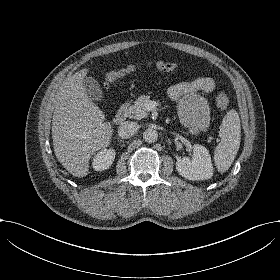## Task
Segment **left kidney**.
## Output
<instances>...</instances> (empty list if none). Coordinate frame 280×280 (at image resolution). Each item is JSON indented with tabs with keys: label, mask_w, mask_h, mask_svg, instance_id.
Returning <instances> with one entry per match:
<instances>
[{
	"label": "left kidney",
	"mask_w": 280,
	"mask_h": 280,
	"mask_svg": "<svg viewBox=\"0 0 280 280\" xmlns=\"http://www.w3.org/2000/svg\"><path fill=\"white\" fill-rule=\"evenodd\" d=\"M176 169L178 173L188 180H207L213 176V166L209 151L202 145H193V155L177 157Z\"/></svg>",
	"instance_id": "5707ae66"
}]
</instances>
